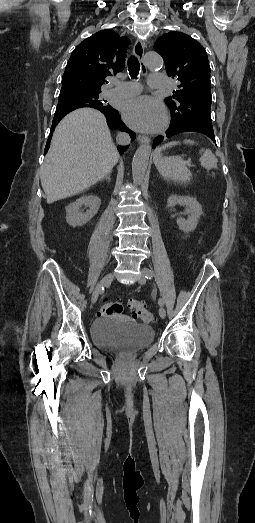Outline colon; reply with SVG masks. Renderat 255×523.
<instances>
[{
	"label": "colon",
	"instance_id": "1",
	"mask_svg": "<svg viewBox=\"0 0 255 523\" xmlns=\"http://www.w3.org/2000/svg\"><path fill=\"white\" fill-rule=\"evenodd\" d=\"M128 307L133 315L144 323H151L154 321V315L146 309L143 302L135 299L128 301ZM123 310V305L120 302H106L101 308L100 314L103 316H112L120 314Z\"/></svg>",
	"mask_w": 255,
	"mask_h": 523
}]
</instances>
